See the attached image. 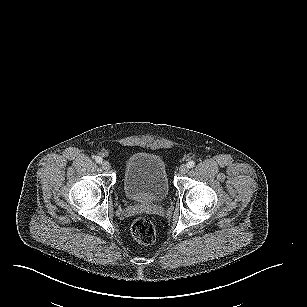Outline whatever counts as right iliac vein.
<instances>
[{"label":"right iliac vein","instance_id":"obj_1","mask_svg":"<svg viewBox=\"0 0 307 307\" xmlns=\"http://www.w3.org/2000/svg\"><path fill=\"white\" fill-rule=\"evenodd\" d=\"M102 168L105 170H110L111 169V164L108 161H103L102 162Z\"/></svg>","mask_w":307,"mask_h":307}]
</instances>
